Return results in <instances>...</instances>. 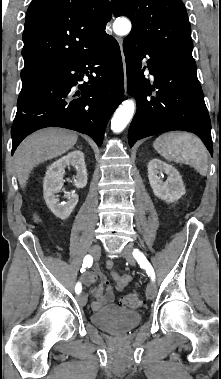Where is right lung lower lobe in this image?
Returning a JSON list of instances; mask_svg holds the SVG:
<instances>
[{"label": "right lung lower lobe", "instance_id": "right-lung-lower-lobe-1", "mask_svg": "<svg viewBox=\"0 0 221 379\" xmlns=\"http://www.w3.org/2000/svg\"><path fill=\"white\" fill-rule=\"evenodd\" d=\"M84 76L88 82L74 89ZM123 95L120 47L110 35L86 53L22 76L11 130L12 155L27 135L50 126L87 134L101 146L107 122Z\"/></svg>", "mask_w": 221, "mask_h": 379}]
</instances>
